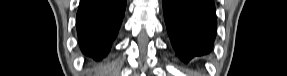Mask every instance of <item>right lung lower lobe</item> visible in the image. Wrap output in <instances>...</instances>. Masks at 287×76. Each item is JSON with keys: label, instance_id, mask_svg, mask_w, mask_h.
I'll return each mask as SVG.
<instances>
[{"label": "right lung lower lobe", "instance_id": "right-lung-lower-lobe-1", "mask_svg": "<svg viewBox=\"0 0 287 76\" xmlns=\"http://www.w3.org/2000/svg\"><path fill=\"white\" fill-rule=\"evenodd\" d=\"M126 0H80L77 32L82 52L95 61L110 50L124 15Z\"/></svg>", "mask_w": 287, "mask_h": 76}]
</instances>
